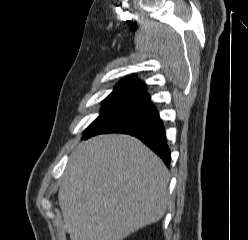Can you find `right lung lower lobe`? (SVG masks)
I'll list each match as a JSON object with an SVG mask.
<instances>
[{"instance_id":"1","label":"right lung lower lobe","mask_w":248,"mask_h":240,"mask_svg":"<svg viewBox=\"0 0 248 240\" xmlns=\"http://www.w3.org/2000/svg\"><path fill=\"white\" fill-rule=\"evenodd\" d=\"M102 133H125L135 136L159 155L167 166L170 164L171 156L164 126L149 99L134 103L106 117L83 138Z\"/></svg>"}]
</instances>
